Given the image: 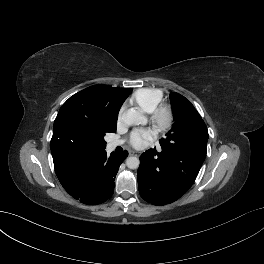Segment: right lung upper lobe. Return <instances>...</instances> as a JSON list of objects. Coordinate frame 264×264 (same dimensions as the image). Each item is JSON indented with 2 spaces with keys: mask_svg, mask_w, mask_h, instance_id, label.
Wrapping results in <instances>:
<instances>
[{
  "mask_svg": "<svg viewBox=\"0 0 264 264\" xmlns=\"http://www.w3.org/2000/svg\"><path fill=\"white\" fill-rule=\"evenodd\" d=\"M84 90L98 95L105 104L107 112L111 116L117 117L121 105L131 93L132 88H114L106 85H94ZM51 153L56 174L64 172L75 160L85 154L65 149L55 135H53L51 139Z\"/></svg>",
  "mask_w": 264,
  "mask_h": 264,
  "instance_id": "obj_1",
  "label": "right lung upper lobe"
}]
</instances>
